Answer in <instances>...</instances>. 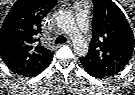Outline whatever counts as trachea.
<instances>
[{
    "label": "trachea",
    "instance_id": "3493384b",
    "mask_svg": "<svg viewBox=\"0 0 135 95\" xmlns=\"http://www.w3.org/2000/svg\"><path fill=\"white\" fill-rule=\"evenodd\" d=\"M65 42V38L61 35H59L57 38H56V43H64Z\"/></svg>",
    "mask_w": 135,
    "mask_h": 95
}]
</instances>
